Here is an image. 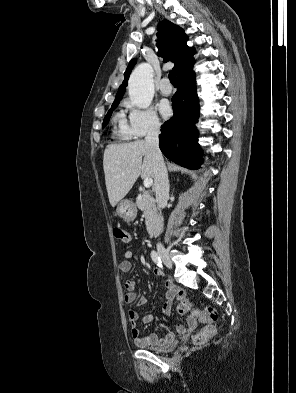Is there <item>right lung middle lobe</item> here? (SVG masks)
<instances>
[{"mask_svg": "<svg viewBox=\"0 0 296 393\" xmlns=\"http://www.w3.org/2000/svg\"><path fill=\"white\" fill-rule=\"evenodd\" d=\"M119 101H114L110 110L108 111V113L106 114L104 121H103V127L106 126L107 122L109 121V118L111 117L112 111L117 107V105L119 104Z\"/></svg>", "mask_w": 296, "mask_h": 393, "instance_id": "dd1d6c3e", "label": "right lung middle lobe"}]
</instances>
